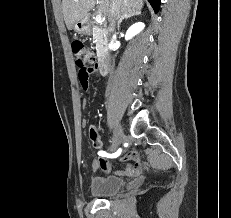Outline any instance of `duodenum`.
Masks as SVG:
<instances>
[{"instance_id":"obj_1","label":"duodenum","mask_w":231,"mask_h":218,"mask_svg":"<svg viewBox=\"0 0 231 218\" xmlns=\"http://www.w3.org/2000/svg\"><path fill=\"white\" fill-rule=\"evenodd\" d=\"M97 69L101 74H107L111 69L110 59L107 56L102 55L98 62Z\"/></svg>"}]
</instances>
